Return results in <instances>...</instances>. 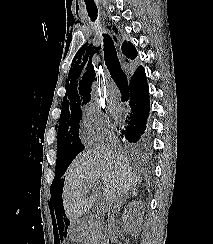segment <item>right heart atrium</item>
I'll list each match as a JSON object with an SVG mask.
<instances>
[{
    "label": "right heart atrium",
    "instance_id": "obj_1",
    "mask_svg": "<svg viewBox=\"0 0 213 244\" xmlns=\"http://www.w3.org/2000/svg\"><path fill=\"white\" fill-rule=\"evenodd\" d=\"M111 133L103 107L97 102H88L82 110L81 135L86 143H96L104 140Z\"/></svg>",
    "mask_w": 213,
    "mask_h": 244
}]
</instances>
